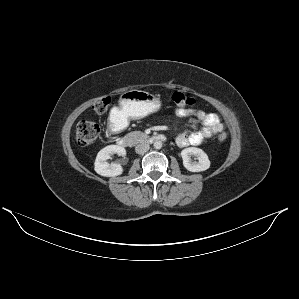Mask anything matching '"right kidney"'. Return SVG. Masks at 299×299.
<instances>
[{
    "label": "right kidney",
    "instance_id": "1",
    "mask_svg": "<svg viewBox=\"0 0 299 299\" xmlns=\"http://www.w3.org/2000/svg\"><path fill=\"white\" fill-rule=\"evenodd\" d=\"M113 154L124 156L126 151L123 147L118 145H109L101 149L98 152L94 163V170L96 173L105 177H115L123 173V167L120 164H110L107 162Z\"/></svg>",
    "mask_w": 299,
    "mask_h": 299
}]
</instances>
